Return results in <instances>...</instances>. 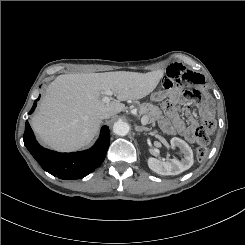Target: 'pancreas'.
I'll return each instance as SVG.
<instances>
[{
	"mask_svg": "<svg viewBox=\"0 0 245 245\" xmlns=\"http://www.w3.org/2000/svg\"><path fill=\"white\" fill-rule=\"evenodd\" d=\"M139 114L142 115V117L147 118L148 124H154L161 115V111L157 106L145 103L140 106Z\"/></svg>",
	"mask_w": 245,
	"mask_h": 245,
	"instance_id": "cf45deb5",
	"label": "pancreas"
}]
</instances>
